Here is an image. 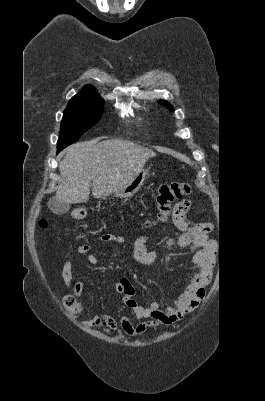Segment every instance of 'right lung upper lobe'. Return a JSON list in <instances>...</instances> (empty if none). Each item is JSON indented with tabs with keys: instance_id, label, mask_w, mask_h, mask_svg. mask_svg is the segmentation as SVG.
Returning a JSON list of instances; mask_svg holds the SVG:
<instances>
[{
	"instance_id": "right-lung-upper-lobe-1",
	"label": "right lung upper lobe",
	"mask_w": 265,
	"mask_h": 401,
	"mask_svg": "<svg viewBox=\"0 0 265 401\" xmlns=\"http://www.w3.org/2000/svg\"><path fill=\"white\" fill-rule=\"evenodd\" d=\"M104 102L93 86L84 87L83 91L73 96L67 106L85 103Z\"/></svg>"
}]
</instances>
